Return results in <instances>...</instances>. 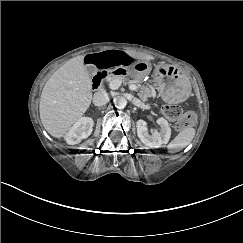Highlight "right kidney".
<instances>
[{
    "instance_id": "ca27d5eb",
    "label": "right kidney",
    "mask_w": 243,
    "mask_h": 243,
    "mask_svg": "<svg viewBox=\"0 0 243 243\" xmlns=\"http://www.w3.org/2000/svg\"><path fill=\"white\" fill-rule=\"evenodd\" d=\"M92 120L90 118L80 119L70 131L67 142L69 144L79 143L84 138L86 131L91 127Z\"/></svg>"
}]
</instances>
